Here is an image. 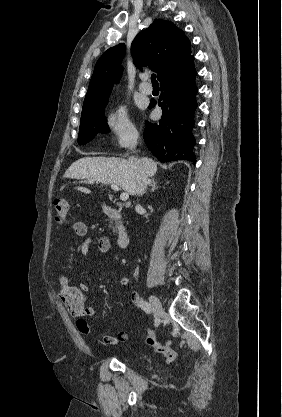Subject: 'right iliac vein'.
Returning <instances> with one entry per match:
<instances>
[{"mask_svg":"<svg viewBox=\"0 0 282 417\" xmlns=\"http://www.w3.org/2000/svg\"><path fill=\"white\" fill-rule=\"evenodd\" d=\"M149 301L151 303V306H152V310H153L154 315L156 317L159 316L160 313H161V311H162V305H161L160 300L156 296L151 295L149 297Z\"/></svg>","mask_w":282,"mask_h":417,"instance_id":"right-iliac-vein-1","label":"right iliac vein"}]
</instances>
